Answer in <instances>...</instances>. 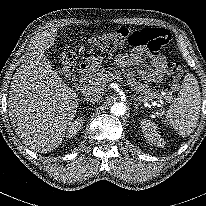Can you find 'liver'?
<instances>
[{"instance_id": "obj_1", "label": "liver", "mask_w": 206, "mask_h": 206, "mask_svg": "<svg viewBox=\"0 0 206 206\" xmlns=\"http://www.w3.org/2000/svg\"><path fill=\"white\" fill-rule=\"evenodd\" d=\"M57 29L43 31L32 52L13 76L8 98L9 116L23 143L46 153L56 149L65 137L79 105L78 94L68 87L45 56L54 45ZM102 58L91 56L88 66L97 71Z\"/></svg>"}]
</instances>
